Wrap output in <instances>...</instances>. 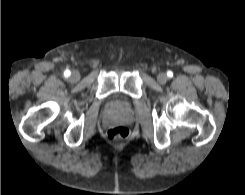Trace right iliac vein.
<instances>
[{
	"label": "right iliac vein",
	"instance_id": "obj_1",
	"mask_svg": "<svg viewBox=\"0 0 245 195\" xmlns=\"http://www.w3.org/2000/svg\"><path fill=\"white\" fill-rule=\"evenodd\" d=\"M79 79H80V73L78 71H73L70 76V80L72 82H77Z\"/></svg>",
	"mask_w": 245,
	"mask_h": 195
}]
</instances>
